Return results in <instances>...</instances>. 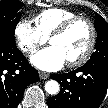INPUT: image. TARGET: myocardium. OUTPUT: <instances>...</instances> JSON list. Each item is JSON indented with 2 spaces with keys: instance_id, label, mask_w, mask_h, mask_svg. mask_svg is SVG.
<instances>
[{
  "instance_id": "1",
  "label": "myocardium",
  "mask_w": 108,
  "mask_h": 108,
  "mask_svg": "<svg viewBox=\"0 0 108 108\" xmlns=\"http://www.w3.org/2000/svg\"><path fill=\"white\" fill-rule=\"evenodd\" d=\"M78 22H83L88 26L90 30V39H89V43L85 51L79 57L73 60L67 61V65L69 67L80 66L84 64L91 57L94 51L95 45H96V41H97V30H96L94 22L88 17L77 15L75 17H72L64 21L49 36V42H50L51 39H53L54 37L64 35L73 25H75Z\"/></svg>"
}]
</instances>
